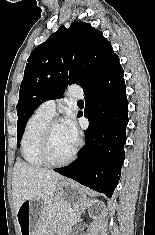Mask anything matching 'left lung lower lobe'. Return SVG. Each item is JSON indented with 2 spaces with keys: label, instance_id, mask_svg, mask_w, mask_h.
Listing matches in <instances>:
<instances>
[{
  "label": "left lung lower lobe",
  "instance_id": "1",
  "mask_svg": "<svg viewBox=\"0 0 155 235\" xmlns=\"http://www.w3.org/2000/svg\"><path fill=\"white\" fill-rule=\"evenodd\" d=\"M124 71L116 58L98 81L84 91V116L90 125L78 159L54 171L111 197L124 162L128 101ZM79 113V117L82 116Z\"/></svg>",
  "mask_w": 155,
  "mask_h": 235
}]
</instances>
